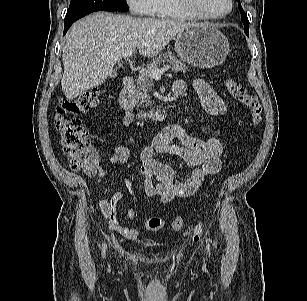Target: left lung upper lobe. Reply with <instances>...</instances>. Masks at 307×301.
Returning <instances> with one entry per match:
<instances>
[{
	"instance_id": "obj_1",
	"label": "left lung upper lobe",
	"mask_w": 307,
	"mask_h": 301,
	"mask_svg": "<svg viewBox=\"0 0 307 301\" xmlns=\"http://www.w3.org/2000/svg\"><path fill=\"white\" fill-rule=\"evenodd\" d=\"M237 1H238V7H239V10H240V13H241L242 22H243V24L245 25L244 31H245V33H246L247 35H249V27H248V25H249V20H248V18H247L246 13L244 12V10H243L241 4H240V0H237Z\"/></svg>"
}]
</instances>
